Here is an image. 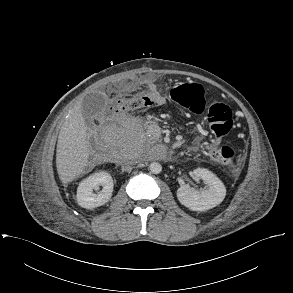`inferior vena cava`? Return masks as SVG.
<instances>
[{"mask_svg":"<svg viewBox=\"0 0 293 293\" xmlns=\"http://www.w3.org/2000/svg\"><path fill=\"white\" fill-rule=\"evenodd\" d=\"M134 163H136L135 160H131V161L127 162L126 165H124L122 167V171H129V170H131L132 169V166L131 165L134 164Z\"/></svg>","mask_w":293,"mask_h":293,"instance_id":"inferior-vena-cava-1","label":"inferior vena cava"}]
</instances>
